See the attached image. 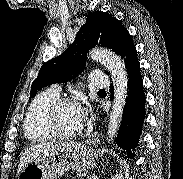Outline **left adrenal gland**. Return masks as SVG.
<instances>
[{
    "mask_svg": "<svg viewBox=\"0 0 183 179\" xmlns=\"http://www.w3.org/2000/svg\"><path fill=\"white\" fill-rule=\"evenodd\" d=\"M87 179H99V177L95 176L94 174L90 177H88Z\"/></svg>",
    "mask_w": 183,
    "mask_h": 179,
    "instance_id": "obj_1",
    "label": "left adrenal gland"
}]
</instances>
